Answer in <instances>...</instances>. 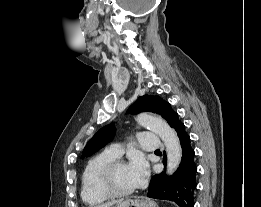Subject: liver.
<instances>
[{"mask_svg":"<svg viewBox=\"0 0 261 207\" xmlns=\"http://www.w3.org/2000/svg\"><path fill=\"white\" fill-rule=\"evenodd\" d=\"M121 201H123V200H113L111 202H107V203H104V204H101V205L91 206V207H111L112 205L117 204Z\"/></svg>","mask_w":261,"mask_h":207,"instance_id":"obj_1","label":"liver"}]
</instances>
